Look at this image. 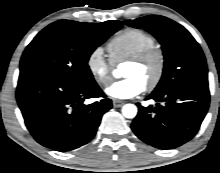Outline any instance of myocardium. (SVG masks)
<instances>
[{"label": "myocardium", "mask_w": 220, "mask_h": 173, "mask_svg": "<svg viewBox=\"0 0 220 173\" xmlns=\"http://www.w3.org/2000/svg\"><path fill=\"white\" fill-rule=\"evenodd\" d=\"M127 63L138 66L153 64L155 66L154 74L150 81L145 84V89L153 91L160 84L165 71V57L162 50L156 47L148 49L129 58Z\"/></svg>", "instance_id": "myocardium-1"}]
</instances>
